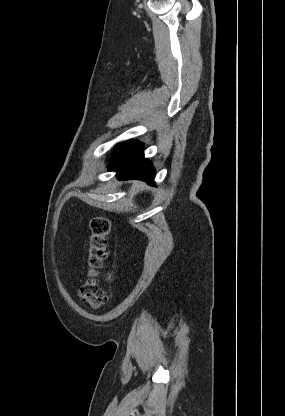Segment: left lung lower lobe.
Returning <instances> with one entry per match:
<instances>
[{
	"mask_svg": "<svg viewBox=\"0 0 285 416\" xmlns=\"http://www.w3.org/2000/svg\"><path fill=\"white\" fill-rule=\"evenodd\" d=\"M143 156L142 143L135 140L119 143L112 152L109 171H116L122 180L139 179L154 185V168Z\"/></svg>",
	"mask_w": 285,
	"mask_h": 416,
	"instance_id": "0a47b994",
	"label": "left lung lower lobe"
}]
</instances>
